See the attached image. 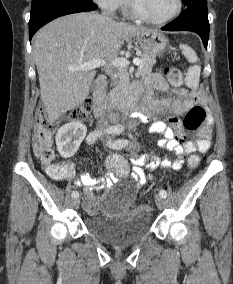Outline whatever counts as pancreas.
Here are the masks:
<instances>
[{
    "instance_id": "1",
    "label": "pancreas",
    "mask_w": 233,
    "mask_h": 284,
    "mask_svg": "<svg viewBox=\"0 0 233 284\" xmlns=\"http://www.w3.org/2000/svg\"><path fill=\"white\" fill-rule=\"evenodd\" d=\"M141 64L138 67V73H149L156 59L152 55L143 53L141 55ZM117 77L119 81L115 88L110 92L109 99L113 105H121L129 100L130 82L129 75L126 70H120Z\"/></svg>"
}]
</instances>
